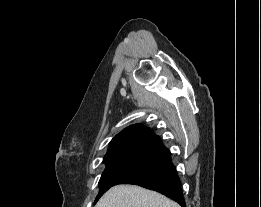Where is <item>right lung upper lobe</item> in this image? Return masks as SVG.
<instances>
[{
    "mask_svg": "<svg viewBox=\"0 0 261 207\" xmlns=\"http://www.w3.org/2000/svg\"><path fill=\"white\" fill-rule=\"evenodd\" d=\"M129 159L154 160L160 164L171 159V153L152 130L142 124H134L111 140L103 162Z\"/></svg>",
    "mask_w": 261,
    "mask_h": 207,
    "instance_id": "1",
    "label": "right lung upper lobe"
}]
</instances>
